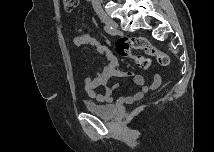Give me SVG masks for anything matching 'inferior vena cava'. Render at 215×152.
Masks as SVG:
<instances>
[{
  "label": "inferior vena cava",
  "mask_w": 215,
  "mask_h": 152,
  "mask_svg": "<svg viewBox=\"0 0 215 152\" xmlns=\"http://www.w3.org/2000/svg\"><path fill=\"white\" fill-rule=\"evenodd\" d=\"M95 2H100V0H95Z\"/></svg>",
  "instance_id": "obj_1"
}]
</instances>
